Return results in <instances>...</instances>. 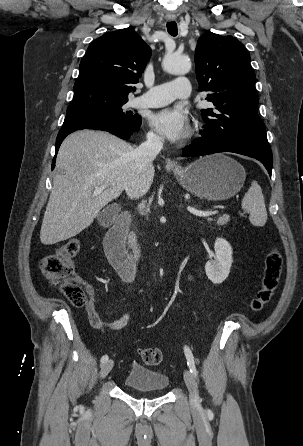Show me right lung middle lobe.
I'll use <instances>...</instances> for the list:
<instances>
[{"mask_svg":"<svg viewBox=\"0 0 303 446\" xmlns=\"http://www.w3.org/2000/svg\"><path fill=\"white\" fill-rule=\"evenodd\" d=\"M125 103L119 102L85 110H67L63 126L83 119L102 118L118 122L130 129L138 130L141 125V117L138 114L133 115V113L124 112L122 106Z\"/></svg>","mask_w":303,"mask_h":446,"instance_id":"1","label":"right lung middle lobe"}]
</instances>
